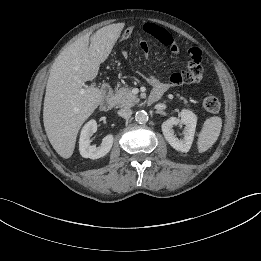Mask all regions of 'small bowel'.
I'll use <instances>...</instances> for the list:
<instances>
[{
  "mask_svg": "<svg viewBox=\"0 0 261 261\" xmlns=\"http://www.w3.org/2000/svg\"><path fill=\"white\" fill-rule=\"evenodd\" d=\"M143 31L146 34L154 37L163 45L167 46L172 53H179V47L174 37L164 28L154 23H146L143 26ZM140 47L144 54L149 57V44L143 38L140 39ZM188 54L190 57L188 69L184 72L171 74L168 83H164L154 76L148 78L149 83L153 86V91L163 94L171 87H178L184 85L185 83L197 82L202 78L203 69L201 65V53L199 49L192 47L188 50Z\"/></svg>",
  "mask_w": 261,
  "mask_h": 261,
  "instance_id": "small-bowel-1",
  "label": "small bowel"
}]
</instances>
